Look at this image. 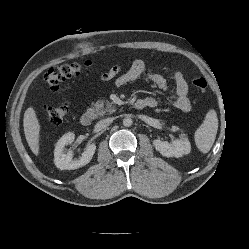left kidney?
<instances>
[{
    "label": "left kidney",
    "mask_w": 249,
    "mask_h": 249,
    "mask_svg": "<svg viewBox=\"0 0 249 249\" xmlns=\"http://www.w3.org/2000/svg\"><path fill=\"white\" fill-rule=\"evenodd\" d=\"M179 128L172 126L171 130L173 132L177 131ZM153 145L157 151H159L163 156L166 157H181L183 155L189 154L191 151V144L185 135H182L180 139H176L169 144L166 141L155 139Z\"/></svg>",
    "instance_id": "left-kidney-1"
}]
</instances>
